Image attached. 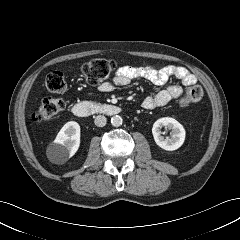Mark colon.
Segmentation results:
<instances>
[{
  "instance_id": "5ec220e1",
  "label": "colon",
  "mask_w": 240,
  "mask_h": 240,
  "mask_svg": "<svg viewBox=\"0 0 240 240\" xmlns=\"http://www.w3.org/2000/svg\"><path fill=\"white\" fill-rule=\"evenodd\" d=\"M116 63L113 60L95 59L86 62L82 66V73L86 81L91 85H98L107 79L115 70ZM45 88L48 92L58 93L66 88V80L60 71L49 73L45 79ZM203 89L199 85L189 86L180 97L179 103L188 106L198 103L203 97ZM65 108V101L61 98H51L45 100L35 112L33 119L35 122H43L58 115Z\"/></svg>"
}]
</instances>
